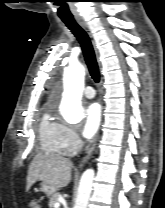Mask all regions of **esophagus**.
Returning <instances> with one entry per match:
<instances>
[{"label": "esophagus", "instance_id": "esophagus-1", "mask_svg": "<svg viewBox=\"0 0 165 208\" xmlns=\"http://www.w3.org/2000/svg\"><path fill=\"white\" fill-rule=\"evenodd\" d=\"M76 21L85 30V32L90 37L93 45L95 46L93 34H92L88 24L84 20H82V19H77ZM97 139H98V137L94 138V140L92 141L91 145L89 146V148L87 150L86 156L82 159V161L80 162L79 166H82L92 156V154H93V152H94V150L96 148Z\"/></svg>", "mask_w": 165, "mask_h": 208}]
</instances>
